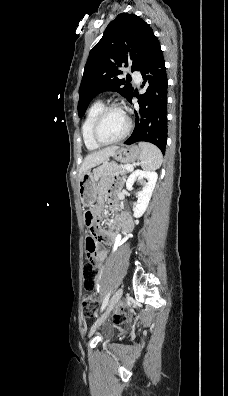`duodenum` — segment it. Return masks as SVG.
<instances>
[{
	"mask_svg": "<svg viewBox=\"0 0 228 396\" xmlns=\"http://www.w3.org/2000/svg\"><path fill=\"white\" fill-rule=\"evenodd\" d=\"M115 226L123 234H126L130 229L127 219L122 216H120V218L118 219V222L115 223Z\"/></svg>",
	"mask_w": 228,
	"mask_h": 396,
	"instance_id": "obj_1",
	"label": "duodenum"
}]
</instances>
